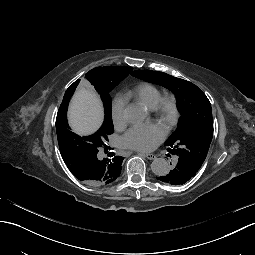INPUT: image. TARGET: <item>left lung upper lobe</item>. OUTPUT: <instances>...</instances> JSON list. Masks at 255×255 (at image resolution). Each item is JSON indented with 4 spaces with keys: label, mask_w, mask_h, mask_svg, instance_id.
Here are the masks:
<instances>
[{
    "label": "left lung upper lobe",
    "mask_w": 255,
    "mask_h": 255,
    "mask_svg": "<svg viewBox=\"0 0 255 255\" xmlns=\"http://www.w3.org/2000/svg\"><path fill=\"white\" fill-rule=\"evenodd\" d=\"M132 75L159 84L175 94L181 118L176 131L165 145L169 153L176 155L178 161L191 166L193 173H196L207 156L213 137L212 111L208 98L193 83L163 72L136 70Z\"/></svg>",
    "instance_id": "1"
}]
</instances>
